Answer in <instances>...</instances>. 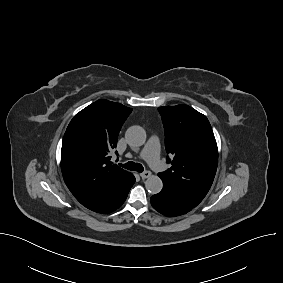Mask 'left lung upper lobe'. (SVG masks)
Returning a JSON list of instances; mask_svg holds the SVG:
<instances>
[{"label": "left lung upper lobe", "mask_w": 283, "mask_h": 283, "mask_svg": "<svg viewBox=\"0 0 283 283\" xmlns=\"http://www.w3.org/2000/svg\"><path fill=\"white\" fill-rule=\"evenodd\" d=\"M165 129L167 163L159 173L164 183L197 206L208 193L217 170L218 148L205 115L188 105L158 108Z\"/></svg>", "instance_id": "left-lung-upper-lobe-1"}]
</instances>
